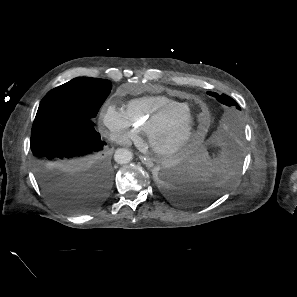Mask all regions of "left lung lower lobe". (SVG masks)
<instances>
[{"mask_svg": "<svg viewBox=\"0 0 297 297\" xmlns=\"http://www.w3.org/2000/svg\"><path fill=\"white\" fill-rule=\"evenodd\" d=\"M156 179L170 200L186 206L204 204L217 199L230 185L228 178L210 168H198L193 158L188 156L160 169Z\"/></svg>", "mask_w": 297, "mask_h": 297, "instance_id": "obj_1", "label": "left lung lower lobe"}]
</instances>
